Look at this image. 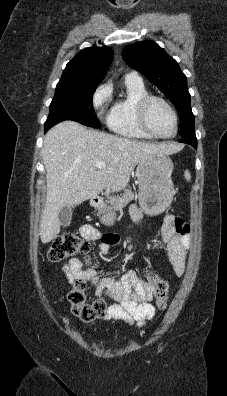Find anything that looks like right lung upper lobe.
<instances>
[{
  "label": "right lung upper lobe",
  "instance_id": "1",
  "mask_svg": "<svg viewBox=\"0 0 227 396\" xmlns=\"http://www.w3.org/2000/svg\"><path fill=\"white\" fill-rule=\"evenodd\" d=\"M113 59V50L96 46L81 50L63 71L61 80L75 82H100Z\"/></svg>",
  "mask_w": 227,
  "mask_h": 396
}]
</instances>
